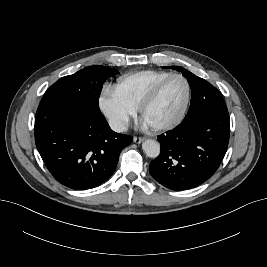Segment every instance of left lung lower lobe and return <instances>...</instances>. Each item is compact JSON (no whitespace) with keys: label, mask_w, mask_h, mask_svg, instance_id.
<instances>
[{"label":"left lung lower lobe","mask_w":267,"mask_h":267,"mask_svg":"<svg viewBox=\"0 0 267 267\" xmlns=\"http://www.w3.org/2000/svg\"><path fill=\"white\" fill-rule=\"evenodd\" d=\"M229 134L228 110L214 113L205 98L190 104L183 122L158 137L161 153L150 163V174L176 191L199 186L218 169Z\"/></svg>","instance_id":"obj_1"}]
</instances>
